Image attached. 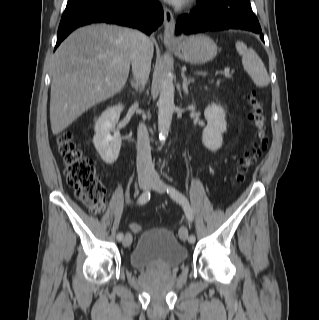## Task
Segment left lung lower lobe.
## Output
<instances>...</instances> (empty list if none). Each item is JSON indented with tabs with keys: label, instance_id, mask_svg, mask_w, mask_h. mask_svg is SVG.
<instances>
[{
	"label": "left lung lower lobe",
	"instance_id": "0a47b994",
	"mask_svg": "<svg viewBox=\"0 0 319 320\" xmlns=\"http://www.w3.org/2000/svg\"><path fill=\"white\" fill-rule=\"evenodd\" d=\"M230 28L261 34L249 0H198L197 8L190 14L180 16L176 23L177 34ZM260 37L264 41L263 34Z\"/></svg>",
	"mask_w": 319,
	"mask_h": 320
}]
</instances>
